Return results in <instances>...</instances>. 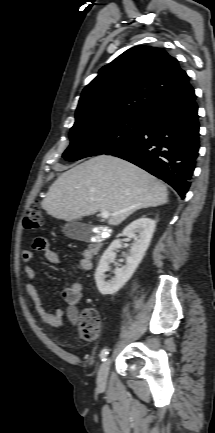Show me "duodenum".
I'll return each instance as SVG.
<instances>
[{
    "label": "duodenum",
    "instance_id": "duodenum-1",
    "mask_svg": "<svg viewBox=\"0 0 215 433\" xmlns=\"http://www.w3.org/2000/svg\"><path fill=\"white\" fill-rule=\"evenodd\" d=\"M103 238V235H100L96 239H91L89 243V250L92 254H96L101 250Z\"/></svg>",
    "mask_w": 215,
    "mask_h": 433
}]
</instances>
